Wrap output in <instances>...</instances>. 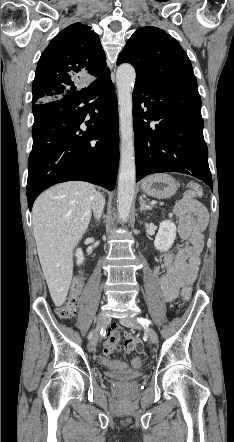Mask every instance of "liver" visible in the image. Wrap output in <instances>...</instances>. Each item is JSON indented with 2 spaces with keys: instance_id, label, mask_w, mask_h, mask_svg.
Instances as JSON below:
<instances>
[{
  "instance_id": "liver-1",
  "label": "liver",
  "mask_w": 234,
  "mask_h": 442,
  "mask_svg": "<svg viewBox=\"0 0 234 442\" xmlns=\"http://www.w3.org/2000/svg\"><path fill=\"white\" fill-rule=\"evenodd\" d=\"M92 184L71 181L42 193L32 209L33 233L44 277L54 304L66 300L72 276V251L91 220Z\"/></svg>"
}]
</instances>
